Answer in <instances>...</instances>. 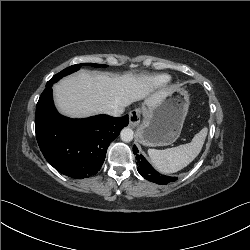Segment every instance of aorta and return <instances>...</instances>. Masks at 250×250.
Segmentation results:
<instances>
[{
  "mask_svg": "<svg viewBox=\"0 0 250 250\" xmlns=\"http://www.w3.org/2000/svg\"><path fill=\"white\" fill-rule=\"evenodd\" d=\"M134 132L131 128H124L120 133V138L123 142H130L133 140Z\"/></svg>",
  "mask_w": 250,
  "mask_h": 250,
  "instance_id": "obj_1",
  "label": "aorta"
}]
</instances>
